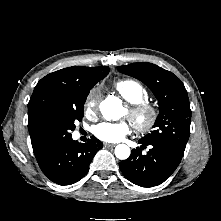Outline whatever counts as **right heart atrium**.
Returning <instances> with one entry per match:
<instances>
[{"instance_id":"right-heart-atrium-1","label":"right heart atrium","mask_w":221,"mask_h":221,"mask_svg":"<svg viewBox=\"0 0 221 221\" xmlns=\"http://www.w3.org/2000/svg\"><path fill=\"white\" fill-rule=\"evenodd\" d=\"M99 101V91L97 88L92 89L85 100L84 103V113L88 117L95 115Z\"/></svg>"}]
</instances>
